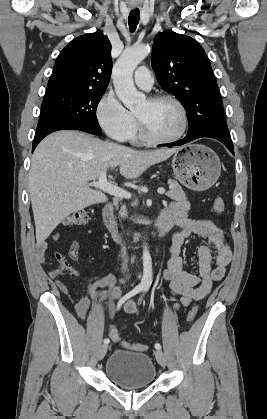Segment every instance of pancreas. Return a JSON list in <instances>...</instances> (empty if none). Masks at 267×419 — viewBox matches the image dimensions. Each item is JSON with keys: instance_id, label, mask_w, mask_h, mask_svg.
I'll use <instances>...</instances> for the list:
<instances>
[{"instance_id": "pancreas-1", "label": "pancreas", "mask_w": 267, "mask_h": 419, "mask_svg": "<svg viewBox=\"0 0 267 419\" xmlns=\"http://www.w3.org/2000/svg\"><path fill=\"white\" fill-rule=\"evenodd\" d=\"M168 183L170 184V190L167 192V196L175 201H185L186 196L184 191L182 190V187L178 184L175 180H169ZM127 211L126 207L124 206L121 209V217H126Z\"/></svg>"}]
</instances>
